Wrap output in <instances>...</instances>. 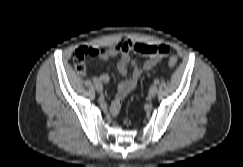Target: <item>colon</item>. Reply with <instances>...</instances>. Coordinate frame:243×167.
<instances>
[{"label":"colon","mask_w":243,"mask_h":167,"mask_svg":"<svg viewBox=\"0 0 243 167\" xmlns=\"http://www.w3.org/2000/svg\"><path fill=\"white\" fill-rule=\"evenodd\" d=\"M91 56V49L87 47H80L75 50L73 54V64L78 73H83L87 69V58ZM178 59L176 56H170L168 64L170 67L177 65Z\"/></svg>","instance_id":"colon-1"}]
</instances>
